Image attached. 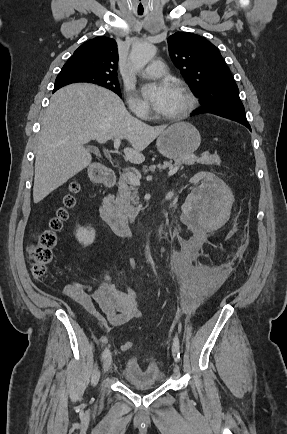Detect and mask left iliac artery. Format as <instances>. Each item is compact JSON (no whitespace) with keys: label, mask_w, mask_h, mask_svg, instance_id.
<instances>
[{"label":"left iliac artery","mask_w":287,"mask_h":434,"mask_svg":"<svg viewBox=\"0 0 287 434\" xmlns=\"http://www.w3.org/2000/svg\"><path fill=\"white\" fill-rule=\"evenodd\" d=\"M173 345L177 348V354H178V357H180V354H179L180 343H179V338L177 336H175V338L173 340Z\"/></svg>","instance_id":"obj_1"}]
</instances>
